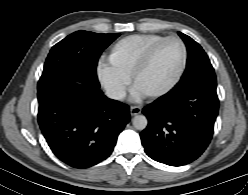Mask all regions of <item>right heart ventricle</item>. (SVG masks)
I'll return each mask as SVG.
<instances>
[{
	"label": "right heart ventricle",
	"mask_w": 248,
	"mask_h": 195,
	"mask_svg": "<svg viewBox=\"0 0 248 195\" xmlns=\"http://www.w3.org/2000/svg\"><path fill=\"white\" fill-rule=\"evenodd\" d=\"M164 38L163 35L150 34L122 41L111 57V66L124 77H131L148 53Z\"/></svg>",
	"instance_id": "1"
}]
</instances>
